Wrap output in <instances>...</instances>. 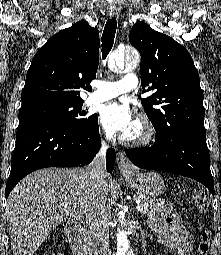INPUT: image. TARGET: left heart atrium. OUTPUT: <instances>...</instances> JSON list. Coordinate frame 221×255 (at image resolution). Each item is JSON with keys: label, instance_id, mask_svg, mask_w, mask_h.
I'll return each mask as SVG.
<instances>
[{"label": "left heart atrium", "instance_id": "1", "mask_svg": "<svg viewBox=\"0 0 221 255\" xmlns=\"http://www.w3.org/2000/svg\"><path fill=\"white\" fill-rule=\"evenodd\" d=\"M100 122L109 135L129 133L136 123L130 107L118 102H110L102 107Z\"/></svg>", "mask_w": 221, "mask_h": 255}]
</instances>
